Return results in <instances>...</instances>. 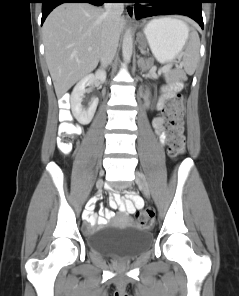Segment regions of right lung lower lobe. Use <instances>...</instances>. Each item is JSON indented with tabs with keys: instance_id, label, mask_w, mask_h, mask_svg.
Segmentation results:
<instances>
[{
	"instance_id": "1",
	"label": "right lung lower lobe",
	"mask_w": 239,
	"mask_h": 296,
	"mask_svg": "<svg viewBox=\"0 0 239 296\" xmlns=\"http://www.w3.org/2000/svg\"><path fill=\"white\" fill-rule=\"evenodd\" d=\"M111 0H40L42 3V19L41 24L45 21L48 14L58 5L62 3H91L93 5L100 6Z\"/></svg>"
}]
</instances>
